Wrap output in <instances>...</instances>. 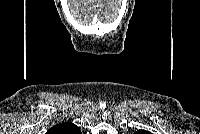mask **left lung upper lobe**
I'll return each mask as SVG.
<instances>
[{
	"mask_svg": "<svg viewBox=\"0 0 200 134\" xmlns=\"http://www.w3.org/2000/svg\"><path fill=\"white\" fill-rule=\"evenodd\" d=\"M147 133H149V132L142 131V130L136 132V134H147Z\"/></svg>",
	"mask_w": 200,
	"mask_h": 134,
	"instance_id": "left-lung-upper-lobe-1",
	"label": "left lung upper lobe"
}]
</instances>
